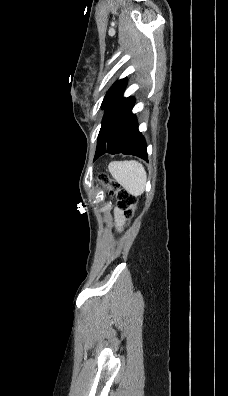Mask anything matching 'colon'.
Instances as JSON below:
<instances>
[{
  "label": "colon",
  "mask_w": 228,
  "mask_h": 396,
  "mask_svg": "<svg viewBox=\"0 0 228 396\" xmlns=\"http://www.w3.org/2000/svg\"><path fill=\"white\" fill-rule=\"evenodd\" d=\"M97 181L103 185L110 194L117 197L119 207L125 211L129 216L133 215L136 210V198L124 189H121L119 184L105 174H100Z\"/></svg>",
  "instance_id": "obj_1"
}]
</instances>
